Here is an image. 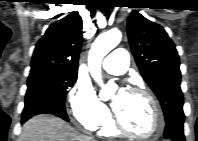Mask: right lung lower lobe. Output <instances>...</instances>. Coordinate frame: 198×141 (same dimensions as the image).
Returning <instances> with one entry per match:
<instances>
[{
    "instance_id": "obj_1",
    "label": "right lung lower lobe",
    "mask_w": 198,
    "mask_h": 141,
    "mask_svg": "<svg viewBox=\"0 0 198 141\" xmlns=\"http://www.w3.org/2000/svg\"><path fill=\"white\" fill-rule=\"evenodd\" d=\"M42 113L52 114L68 121L67 114L63 109L46 104H28L25 105L22 113V123L27 121L29 118Z\"/></svg>"
}]
</instances>
